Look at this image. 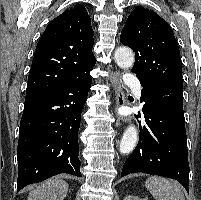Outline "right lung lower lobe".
Wrapping results in <instances>:
<instances>
[{"label":"right lung lower lobe","mask_w":201,"mask_h":200,"mask_svg":"<svg viewBox=\"0 0 201 200\" xmlns=\"http://www.w3.org/2000/svg\"><path fill=\"white\" fill-rule=\"evenodd\" d=\"M90 71L71 83L25 98L17 149V192L51 176L81 177L78 131Z\"/></svg>","instance_id":"1"}]
</instances>
